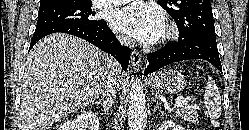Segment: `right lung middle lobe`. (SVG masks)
<instances>
[{"label":"right lung middle lobe","instance_id":"1","mask_svg":"<svg viewBox=\"0 0 249 130\" xmlns=\"http://www.w3.org/2000/svg\"><path fill=\"white\" fill-rule=\"evenodd\" d=\"M92 2L78 1L66 5L40 7L36 30L65 24L97 25L103 20L93 19Z\"/></svg>","mask_w":249,"mask_h":130}]
</instances>
